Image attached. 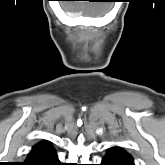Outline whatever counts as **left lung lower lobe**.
I'll return each mask as SVG.
<instances>
[{"label":"left lung lower lobe","mask_w":165,"mask_h":165,"mask_svg":"<svg viewBox=\"0 0 165 165\" xmlns=\"http://www.w3.org/2000/svg\"><path fill=\"white\" fill-rule=\"evenodd\" d=\"M101 165H134L132 157L118 147H112L103 158Z\"/></svg>","instance_id":"0a47b994"}]
</instances>
